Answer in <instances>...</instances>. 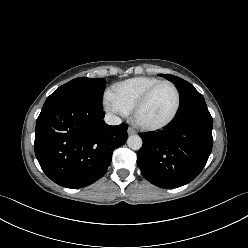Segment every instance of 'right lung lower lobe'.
<instances>
[{
    "label": "right lung lower lobe",
    "mask_w": 248,
    "mask_h": 248,
    "mask_svg": "<svg viewBox=\"0 0 248 248\" xmlns=\"http://www.w3.org/2000/svg\"><path fill=\"white\" fill-rule=\"evenodd\" d=\"M103 108L76 99L45 103L35 129V155L44 173L67 188L88 186L106 172L127 140L124 123L107 125Z\"/></svg>",
    "instance_id": "1"
}]
</instances>
